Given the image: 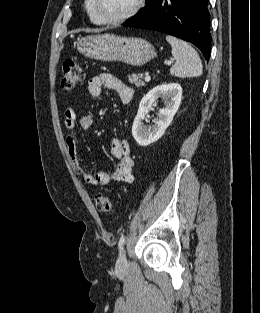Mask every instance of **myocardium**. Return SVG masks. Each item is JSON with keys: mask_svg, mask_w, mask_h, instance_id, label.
<instances>
[{"mask_svg": "<svg viewBox=\"0 0 260 313\" xmlns=\"http://www.w3.org/2000/svg\"><path fill=\"white\" fill-rule=\"evenodd\" d=\"M144 5V0H135L134 5L132 8L126 12L124 15L116 18H108L105 17L100 9H99V1L98 0H92V6L95 14L99 18V20L102 22V24H111V25H116V24H121L132 17H134L143 7Z\"/></svg>", "mask_w": 260, "mask_h": 313, "instance_id": "obj_1", "label": "myocardium"}]
</instances>
